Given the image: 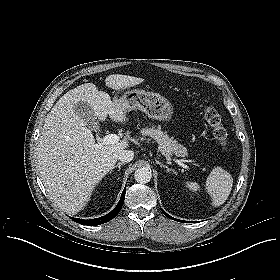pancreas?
<instances>
[{
    "label": "pancreas",
    "instance_id": "cf45deb5",
    "mask_svg": "<svg viewBox=\"0 0 280 280\" xmlns=\"http://www.w3.org/2000/svg\"><path fill=\"white\" fill-rule=\"evenodd\" d=\"M143 136H149L159 144L161 153L165 156L175 155L177 157H185L187 155V149L183 145L179 144L176 140L169 138V136L161 131L160 128L154 126L150 128H143L141 130Z\"/></svg>",
    "mask_w": 280,
    "mask_h": 280
}]
</instances>
